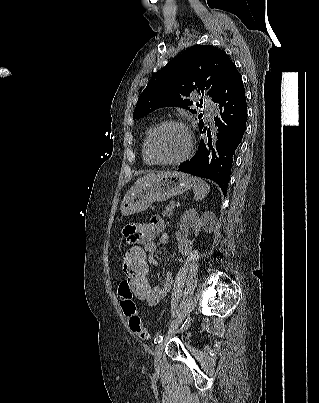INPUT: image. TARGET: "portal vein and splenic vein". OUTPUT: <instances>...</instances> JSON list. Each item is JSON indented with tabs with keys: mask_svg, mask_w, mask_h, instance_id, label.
I'll list each match as a JSON object with an SVG mask.
<instances>
[{
	"mask_svg": "<svg viewBox=\"0 0 319 403\" xmlns=\"http://www.w3.org/2000/svg\"><path fill=\"white\" fill-rule=\"evenodd\" d=\"M171 204H172V205H175V202L172 201ZM176 206H179V203H177Z\"/></svg>",
	"mask_w": 319,
	"mask_h": 403,
	"instance_id": "portal-vein-and-splenic-vein-1",
	"label": "portal vein and splenic vein"
}]
</instances>
